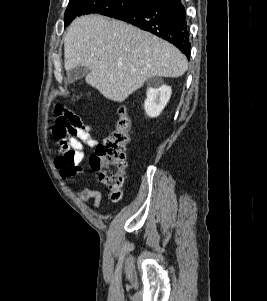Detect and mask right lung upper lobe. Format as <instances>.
Wrapping results in <instances>:
<instances>
[{
	"label": "right lung upper lobe",
	"instance_id": "cb5924a9",
	"mask_svg": "<svg viewBox=\"0 0 267 301\" xmlns=\"http://www.w3.org/2000/svg\"><path fill=\"white\" fill-rule=\"evenodd\" d=\"M143 1H145L146 3H148V2H150V1H152V0H143Z\"/></svg>",
	"mask_w": 267,
	"mask_h": 301
}]
</instances>
